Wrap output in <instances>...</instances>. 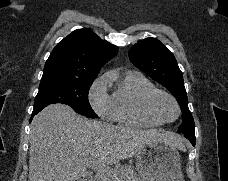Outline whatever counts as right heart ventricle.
Returning a JSON list of instances; mask_svg holds the SVG:
<instances>
[{
	"mask_svg": "<svg viewBox=\"0 0 228 181\" xmlns=\"http://www.w3.org/2000/svg\"><path fill=\"white\" fill-rule=\"evenodd\" d=\"M105 86L114 85L111 96L112 118L120 123L138 126H152L156 122L145 118L140 110L142 96L154 89L153 84L142 74L132 71H111Z\"/></svg>",
	"mask_w": 228,
	"mask_h": 181,
	"instance_id": "1",
	"label": "right heart ventricle"
}]
</instances>
